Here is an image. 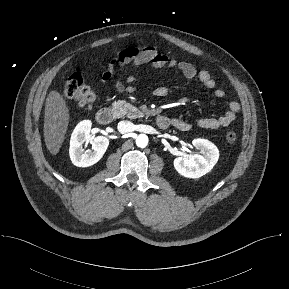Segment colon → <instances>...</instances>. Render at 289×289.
Masks as SVG:
<instances>
[{"instance_id": "colon-1", "label": "colon", "mask_w": 289, "mask_h": 289, "mask_svg": "<svg viewBox=\"0 0 289 289\" xmlns=\"http://www.w3.org/2000/svg\"><path fill=\"white\" fill-rule=\"evenodd\" d=\"M62 93L64 97L75 100L80 106L85 108H91L95 101L93 91L86 85L79 72H75L67 78ZM226 140L230 144L235 143L237 140L236 133L229 131L226 134Z\"/></svg>"}]
</instances>
